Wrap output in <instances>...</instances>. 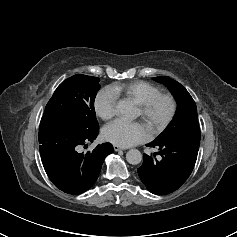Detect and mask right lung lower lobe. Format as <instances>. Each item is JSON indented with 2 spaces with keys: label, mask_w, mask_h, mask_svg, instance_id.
<instances>
[{
  "label": "right lung lower lobe",
  "mask_w": 237,
  "mask_h": 237,
  "mask_svg": "<svg viewBox=\"0 0 237 237\" xmlns=\"http://www.w3.org/2000/svg\"><path fill=\"white\" fill-rule=\"evenodd\" d=\"M99 129L88 134H75L54 124H40L39 143L44 169L52 183L69 194L88 190L98 178L105 157L114 149L110 143L93 151L78 153V148L93 142Z\"/></svg>",
  "instance_id": "right-lung-lower-lobe-1"
}]
</instances>
